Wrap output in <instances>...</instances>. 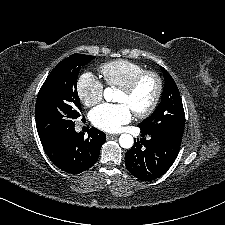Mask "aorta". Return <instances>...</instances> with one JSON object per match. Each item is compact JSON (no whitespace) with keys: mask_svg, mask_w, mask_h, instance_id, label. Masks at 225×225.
Instances as JSON below:
<instances>
[{"mask_svg":"<svg viewBox=\"0 0 225 225\" xmlns=\"http://www.w3.org/2000/svg\"><path fill=\"white\" fill-rule=\"evenodd\" d=\"M104 98L106 101H111L113 98V90L111 88H106L104 90ZM119 143L122 148L129 149L133 146L134 139L130 134H122L119 137Z\"/></svg>","mask_w":225,"mask_h":225,"instance_id":"762f6f07","label":"aorta"}]
</instances>
